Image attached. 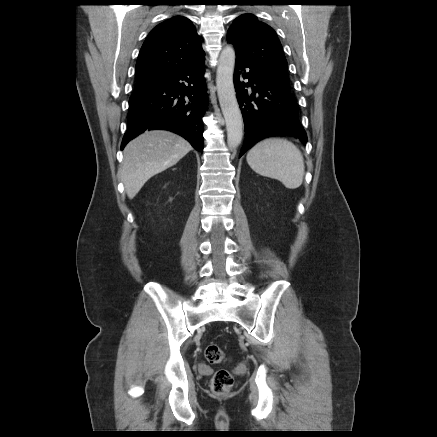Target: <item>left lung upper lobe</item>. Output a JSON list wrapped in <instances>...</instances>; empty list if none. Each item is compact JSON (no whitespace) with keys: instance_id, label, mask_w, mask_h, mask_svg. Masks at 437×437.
Masks as SVG:
<instances>
[{"instance_id":"left-lung-upper-lobe-1","label":"left lung upper lobe","mask_w":437,"mask_h":437,"mask_svg":"<svg viewBox=\"0 0 437 437\" xmlns=\"http://www.w3.org/2000/svg\"><path fill=\"white\" fill-rule=\"evenodd\" d=\"M239 57L270 80L290 89L287 61L275 31L253 14L237 17L227 34Z\"/></svg>"}]
</instances>
